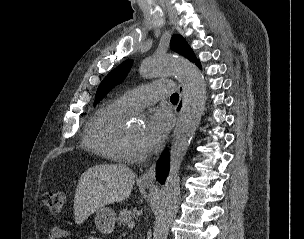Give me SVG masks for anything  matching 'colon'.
Here are the masks:
<instances>
[{"mask_svg": "<svg viewBox=\"0 0 304 239\" xmlns=\"http://www.w3.org/2000/svg\"><path fill=\"white\" fill-rule=\"evenodd\" d=\"M65 193L62 191L58 192H47L43 195V202L54 215L59 214L65 203Z\"/></svg>", "mask_w": 304, "mask_h": 239, "instance_id": "1", "label": "colon"}]
</instances>
